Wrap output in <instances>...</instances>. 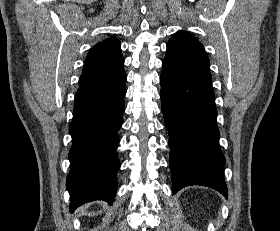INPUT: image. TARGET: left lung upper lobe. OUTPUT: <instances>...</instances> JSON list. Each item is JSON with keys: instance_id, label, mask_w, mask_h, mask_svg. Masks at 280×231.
Instances as JSON below:
<instances>
[{"instance_id": "1", "label": "left lung upper lobe", "mask_w": 280, "mask_h": 231, "mask_svg": "<svg viewBox=\"0 0 280 231\" xmlns=\"http://www.w3.org/2000/svg\"><path fill=\"white\" fill-rule=\"evenodd\" d=\"M177 77H210L209 58L203 46L190 33L179 31L167 43L162 63Z\"/></svg>"}]
</instances>
